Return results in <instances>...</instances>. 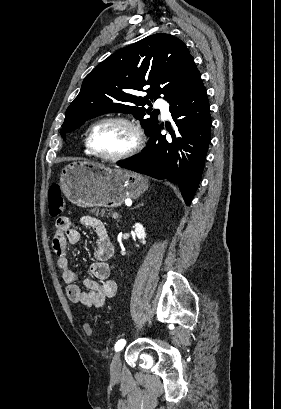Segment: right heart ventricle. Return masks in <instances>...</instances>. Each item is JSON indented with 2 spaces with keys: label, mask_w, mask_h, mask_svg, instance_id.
<instances>
[{
  "label": "right heart ventricle",
  "mask_w": 281,
  "mask_h": 409,
  "mask_svg": "<svg viewBox=\"0 0 281 409\" xmlns=\"http://www.w3.org/2000/svg\"><path fill=\"white\" fill-rule=\"evenodd\" d=\"M92 127H93V125H90L88 127V129L86 131V134H85V138H84V152H85L86 155H92V153H91V151L89 149V145H88V138H89V134H90V131H91Z\"/></svg>",
  "instance_id": "obj_1"
}]
</instances>
